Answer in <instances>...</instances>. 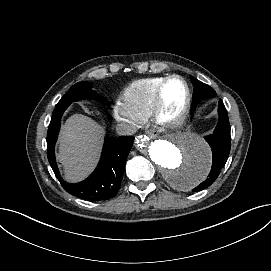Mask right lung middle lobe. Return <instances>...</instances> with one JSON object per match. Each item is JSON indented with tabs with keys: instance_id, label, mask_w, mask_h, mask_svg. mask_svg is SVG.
Masks as SVG:
<instances>
[{
	"instance_id": "1",
	"label": "right lung middle lobe",
	"mask_w": 271,
	"mask_h": 271,
	"mask_svg": "<svg viewBox=\"0 0 271 271\" xmlns=\"http://www.w3.org/2000/svg\"><path fill=\"white\" fill-rule=\"evenodd\" d=\"M85 98L98 99L107 103L103 98L99 97L93 90H91V85L88 82H79L68 90V92L57 103L55 108L69 105L74 101Z\"/></svg>"
}]
</instances>
